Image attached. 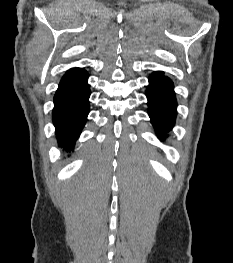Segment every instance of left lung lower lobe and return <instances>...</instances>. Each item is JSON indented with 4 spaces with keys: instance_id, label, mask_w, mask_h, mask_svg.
I'll use <instances>...</instances> for the list:
<instances>
[{
    "instance_id": "obj_1",
    "label": "left lung lower lobe",
    "mask_w": 233,
    "mask_h": 263,
    "mask_svg": "<svg viewBox=\"0 0 233 263\" xmlns=\"http://www.w3.org/2000/svg\"><path fill=\"white\" fill-rule=\"evenodd\" d=\"M146 95L151 123L159 139L164 141L175 124L177 114L173 82L162 71H155L149 77Z\"/></svg>"
}]
</instances>
